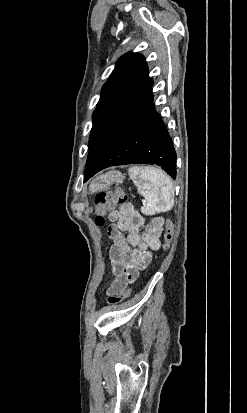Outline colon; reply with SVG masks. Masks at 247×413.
Wrapping results in <instances>:
<instances>
[{
    "mask_svg": "<svg viewBox=\"0 0 247 413\" xmlns=\"http://www.w3.org/2000/svg\"><path fill=\"white\" fill-rule=\"evenodd\" d=\"M124 200V194L122 189L117 192L103 191L99 192L95 198V223L98 227H103L105 225V214L110 210L115 208L118 204L122 203ZM174 222L168 220L166 223V229L163 233V241L161 243V248L167 250L170 246L172 234H173ZM113 240V239H112ZM137 277V276H136ZM130 295V289L127 288V293H120L119 298H108L107 304L112 307L118 306L121 301L126 299Z\"/></svg>",
    "mask_w": 247,
    "mask_h": 413,
    "instance_id": "obj_1",
    "label": "colon"
}]
</instances>
